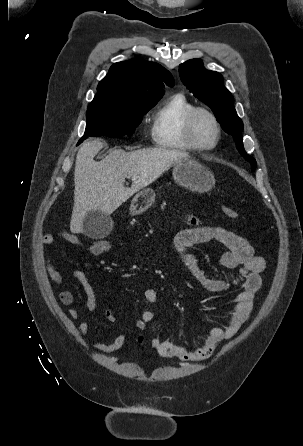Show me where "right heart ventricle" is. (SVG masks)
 Returning <instances> with one entry per match:
<instances>
[{
  "mask_svg": "<svg viewBox=\"0 0 303 446\" xmlns=\"http://www.w3.org/2000/svg\"><path fill=\"white\" fill-rule=\"evenodd\" d=\"M193 108L194 104L183 93L168 97L153 116L150 133L154 145L169 150H192L185 140L183 126Z\"/></svg>",
  "mask_w": 303,
  "mask_h": 446,
  "instance_id": "obj_1",
  "label": "right heart ventricle"
}]
</instances>
